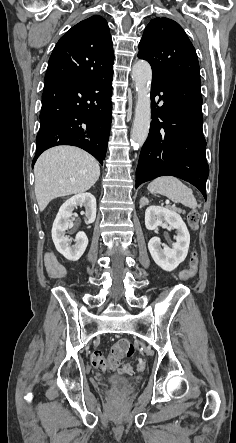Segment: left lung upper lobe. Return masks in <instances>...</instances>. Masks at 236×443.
Instances as JSON below:
<instances>
[{
	"label": "left lung upper lobe",
	"mask_w": 236,
	"mask_h": 443,
	"mask_svg": "<svg viewBox=\"0 0 236 443\" xmlns=\"http://www.w3.org/2000/svg\"><path fill=\"white\" fill-rule=\"evenodd\" d=\"M138 57L150 63L153 77L172 74L200 77L191 41L178 23L165 17H157L147 25L139 43Z\"/></svg>",
	"instance_id": "left-lung-upper-lobe-1"
}]
</instances>
